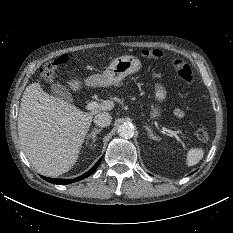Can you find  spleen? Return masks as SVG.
I'll use <instances>...</instances> for the list:
<instances>
[{
  "label": "spleen",
  "mask_w": 233,
  "mask_h": 233,
  "mask_svg": "<svg viewBox=\"0 0 233 233\" xmlns=\"http://www.w3.org/2000/svg\"><path fill=\"white\" fill-rule=\"evenodd\" d=\"M204 155L202 148H192L187 153V165L193 166L196 165Z\"/></svg>",
  "instance_id": "spleen-1"
}]
</instances>
